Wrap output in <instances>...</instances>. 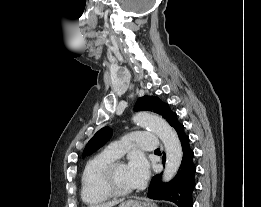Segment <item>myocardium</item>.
I'll list each match as a JSON object with an SVG mask.
<instances>
[{"mask_svg": "<svg viewBox=\"0 0 261 207\" xmlns=\"http://www.w3.org/2000/svg\"><path fill=\"white\" fill-rule=\"evenodd\" d=\"M124 162L121 160H114L105 168L102 175V184L105 191L112 197H121L129 195L133 192V189L122 190L119 189L114 183V172L119 165H123Z\"/></svg>", "mask_w": 261, "mask_h": 207, "instance_id": "obj_1", "label": "myocardium"}]
</instances>
